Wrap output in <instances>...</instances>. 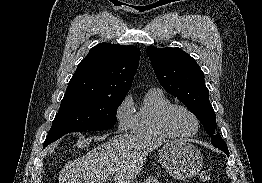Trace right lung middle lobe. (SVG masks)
I'll return each mask as SVG.
<instances>
[{
	"instance_id": "obj_1",
	"label": "right lung middle lobe",
	"mask_w": 262,
	"mask_h": 183,
	"mask_svg": "<svg viewBox=\"0 0 262 183\" xmlns=\"http://www.w3.org/2000/svg\"><path fill=\"white\" fill-rule=\"evenodd\" d=\"M124 98L89 93L65 94L44 143L50 144L71 132L112 128L116 123L117 108Z\"/></svg>"
}]
</instances>
